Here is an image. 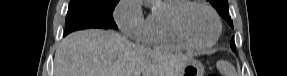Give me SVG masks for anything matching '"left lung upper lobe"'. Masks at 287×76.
Returning a JSON list of instances; mask_svg holds the SVG:
<instances>
[{
    "instance_id": "left-lung-upper-lobe-1",
    "label": "left lung upper lobe",
    "mask_w": 287,
    "mask_h": 76,
    "mask_svg": "<svg viewBox=\"0 0 287 76\" xmlns=\"http://www.w3.org/2000/svg\"><path fill=\"white\" fill-rule=\"evenodd\" d=\"M214 8L217 9L218 13L228 22V24L233 27V21L229 17V7L228 0H209ZM231 48L235 51L236 46L234 43V38L231 40Z\"/></svg>"
}]
</instances>
